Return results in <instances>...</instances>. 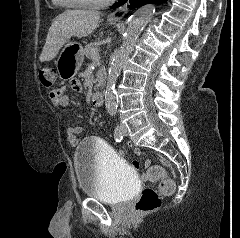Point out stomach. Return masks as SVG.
Returning a JSON list of instances; mask_svg holds the SVG:
<instances>
[{
  "label": "stomach",
  "mask_w": 240,
  "mask_h": 238,
  "mask_svg": "<svg viewBox=\"0 0 240 238\" xmlns=\"http://www.w3.org/2000/svg\"><path fill=\"white\" fill-rule=\"evenodd\" d=\"M84 52L82 46L74 41H68L55 61L56 71L63 80L75 75L83 63Z\"/></svg>",
  "instance_id": "0dacf381"
}]
</instances>
